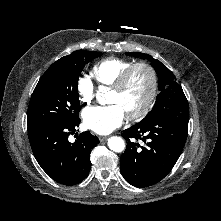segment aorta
I'll list each match as a JSON object with an SVG mask.
<instances>
[{
	"instance_id": "1",
	"label": "aorta",
	"mask_w": 221,
	"mask_h": 221,
	"mask_svg": "<svg viewBox=\"0 0 221 221\" xmlns=\"http://www.w3.org/2000/svg\"><path fill=\"white\" fill-rule=\"evenodd\" d=\"M97 99L101 102L103 100V94L99 92ZM108 147L114 152H122L125 149V143L121 137L113 136L108 139Z\"/></svg>"
}]
</instances>
